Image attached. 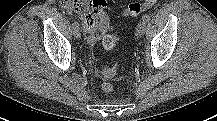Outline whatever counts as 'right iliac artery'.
Here are the masks:
<instances>
[{
	"mask_svg": "<svg viewBox=\"0 0 217 121\" xmlns=\"http://www.w3.org/2000/svg\"><path fill=\"white\" fill-rule=\"evenodd\" d=\"M72 26H73L74 29H75V28H78V29H79V24H78L77 22H73V23H72Z\"/></svg>",
	"mask_w": 217,
	"mask_h": 121,
	"instance_id": "obj_1",
	"label": "right iliac artery"
}]
</instances>
